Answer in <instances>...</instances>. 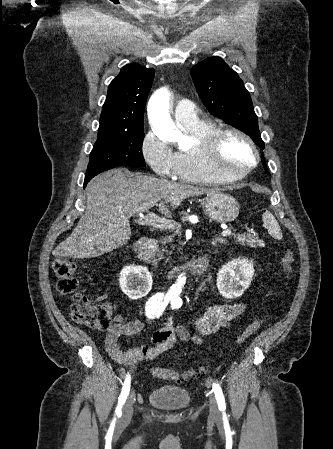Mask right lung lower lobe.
<instances>
[{"mask_svg":"<svg viewBox=\"0 0 333 449\" xmlns=\"http://www.w3.org/2000/svg\"><path fill=\"white\" fill-rule=\"evenodd\" d=\"M94 176H87L85 177V181H84V188L86 186V184L93 178Z\"/></svg>","mask_w":333,"mask_h":449,"instance_id":"1","label":"right lung lower lobe"}]
</instances>
